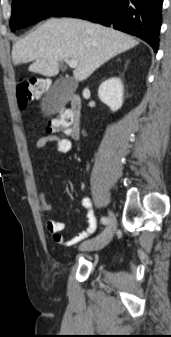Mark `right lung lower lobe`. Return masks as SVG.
<instances>
[{
	"label": "right lung lower lobe",
	"instance_id": "right-lung-lower-lobe-1",
	"mask_svg": "<svg viewBox=\"0 0 171 337\" xmlns=\"http://www.w3.org/2000/svg\"><path fill=\"white\" fill-rule=\"evenodd\" d=\"M163 0H75L53 16L76 17L135 35L156 52Z\"/></svg>",
	"mask_w": 171,
	"mask_h": 337
}]
</instances>
